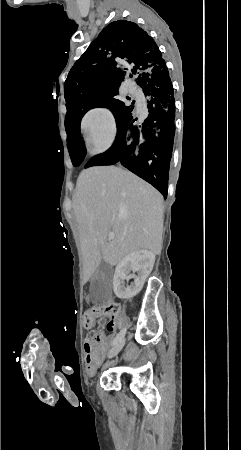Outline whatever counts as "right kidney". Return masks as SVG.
Returning a JSON list of instances; mask_svg holds the SVG:
<instances>
[{
  "instance_id": "1",
  "label": "right kidney",
  "mask_w": 241,
  "mask_h": 450,
  "mask_svg": "<svg viewBox=\"0 0 241 450\" xmlns=\"http://www.w3.org/2000/svg\"><path fill=\"white\" fill-rule=\"evenodd\" d=\"M155 262V254L148 250H137L127 254L119 264H117L113 278V290L117 298L121 300H130L136 294H139L144 286L146 278L151 274ZM133 272V274H130ZM137 272V276L135 274ZM130 286H125L124 280H131Z\"/></svg>"
}]
</instances>
